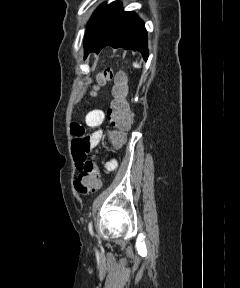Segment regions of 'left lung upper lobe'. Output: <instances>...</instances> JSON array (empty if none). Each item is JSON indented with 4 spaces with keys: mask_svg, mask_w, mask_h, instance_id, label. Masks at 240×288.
Segmentation results:
<instances>
[{
    "mask_svg": "<svg viewBox=\"0 0 240 288\" xmlns=\"http://www.w3.org/2000/svg\"><path fill=\"white\" fill-rule=\"evenodd\" d=\"M106 9H107V5H106V3H103L100 7H98L95 10V12H94L93 16L91 17V19H90V21L88 23V26H87V31H86V35H85L84 44L88 40V38L90 37V35L94 31V29L96 28V26L99 23L100 19L104 15Z\"/></svg>",
    "mask_w": 240,
    "mask_h": 288,
    "instance_id": "1",
    "label": "left lung upper lobe"
}]
</instances>
